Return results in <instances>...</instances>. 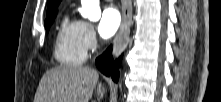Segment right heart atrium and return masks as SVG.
<instances>
[{
    "label": "right heart atrium",
    "mask_w": 221,
    "mask_h": 102,
    "mask_svg": "<svg viewBox=\"0 0 221 102\" xmlns=\"http://www.w3.org/2000/svg\"><path fill=\"white\" fill-rule=\"evenodd\" d=\"M80 32L82 43L86 51H91L96 47L97 38L94 26L86 21H80Z\"/></svg>",
    "instance_id": "d8ad5b80"
}]
</instances>
